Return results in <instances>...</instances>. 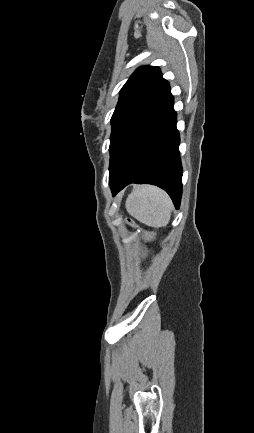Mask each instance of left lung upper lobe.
<instances>
[{"label":"left lung upper lobe","mask_w":254,"mask_h":433,"mask_svg":"<svg viewBox=\"0 0 254 433\" xmlns=\"http://www.w3.org/2000/svg\"><path fill=\"white\" fill-rule=\"evenodd\" d=\"M169 93V84L156 66L138 68L122 87L111 118L109 178L118 169L139 129Z\"/></svg>","instance_id":"obj_1"}]
</instances>
